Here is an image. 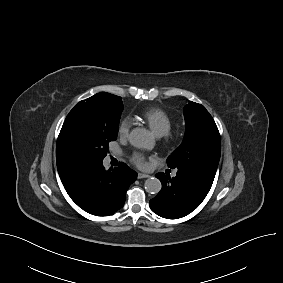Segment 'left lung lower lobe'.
Returning a JSON list of instances; mask_svg holds the SVG:
<instances>
[{"label":"left lung lower lobe","instance_id":"1","mask_svg":"<svg viewBox=\"0 0 283 283\" xmlns=\"http://www.w3.org/2000/svg\"><path fill=\"white\" fill-rule=\"evenodd\" d=\"M156 177L161 181L162 189L149 205L154 213L167 219H178L191 213L211 188L200 177L184 171H178L173 178L164 173H157Z\"/></svg>","mask_w":283,"mask_h":283}]
</instances>
